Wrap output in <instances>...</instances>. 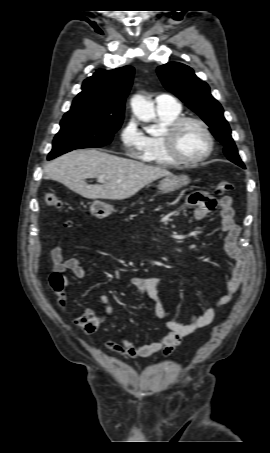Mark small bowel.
I'll return each mask as SVG.
<instances>
[{"instance_id":"c3829d8e","label":"small bowel","mask_w":270,"mask_h":453,"mask_svg":"<svg viewBox=\"0 0 270 453\" xmlns=\"http://www.w3.org/2000/svg\"><path fill=\"white\" fill-rule=\"evenodd\" d=\"M232 203L233 200L230 196H223L218 200L221 229L226 233L224 246L227 254L234 261V268L226 283V291L218 298L215 306L207 307L201 313L191 316L184 323L168 319L166 321L168 332L159 341L148 344H133L126 338H121L119 341L110 340L104 345L108 351L131 359L150 357L157 352H161L165 357L170 356L184 337L196 329L209 325L213 321L216 308L224 307L232 301L244 280L248 264L246 254L238 245L241 229L234 220L235 213ZM187 205L194 208V216L197 220H202L215 206L214 204L211 207L203 202L199 198V193L189 196ZM51 257L54 263V273L62 276L64 287L69 285V278L65 274L67 271H71L77 278L86 276V269L80 260L76 257L64 258L60 245L55 246L51 250ZM161 281L158 277L135 276L130 279V284L141 295L151 300L155 316L158 319H165L169 318V313L164 308L158 294V286ZM99 299L104 306V313L102 315H98L93 309L87 308L82 315L73 320V324L87 335L95 333L100 327L111 322L113 318L114 310L108 295L102 293Z\"/></svg>"}]
</instances>
